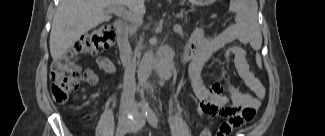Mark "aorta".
<instances>
[{
	"mask_svg": "<svg viewBox=\"0 0 325 136\" xmlns=\"http://www.w3.org/2000/svg\"><path fill=\"white\" fill-rule=\"evenodd\" d=\"M153 63H154V54L152 49H148L142 59L141 62L139 64V68H138V81L140 86H144L146 84V82L148 81V78L151 74V71L153 69ZM142 110L144 112H150V108L143 104L142 105Z\"/></svg>",
	"mask_w": 325,
	"mask_h": 136,
	"instance_id": "obj_1",
	"label": "aorta"
}]
</instances>
